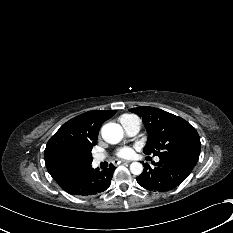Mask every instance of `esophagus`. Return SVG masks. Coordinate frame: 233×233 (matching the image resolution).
<instances>
[{"instance_id":"34e87169","label":"esophagus","mask_w":233,"mask_h":233,"mask_svg":"<svg viewBox=\"0 0 233 233\" xmlns=\"http://www.w3.org/2000/svg\"><path fill=\"white\" fill-rule=\"evenodd\" d=\"M130 160H123L122 163H130Z\"/></svg>"}]
</instances>
